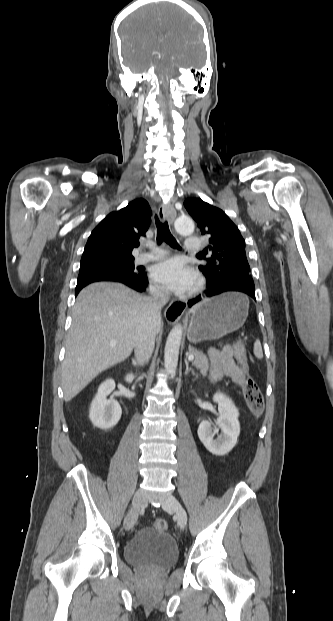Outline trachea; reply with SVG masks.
Returning a JSON list of instances; mask_svg holds the SVG:
<instances>
[{
    "instance_id": "1",
    "label": "trachea",
    "mask_w": 333,
    "mask_h": 621,
    "mask_svg": "<svg viewBox=\"0 0 333 621\" xmlns=\"http://www.w3.org/2000/svg\"><path fill=\"white\" fill-rule=\"evenodd\" d=\"M155 223L157 227V243L166 242L172 248L181 249L175 238L172 236L167 222H161L157 215H155Z\"/></svg>"
}]
</instances>
